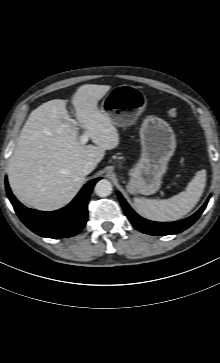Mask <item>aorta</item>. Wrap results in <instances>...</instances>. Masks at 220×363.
Returning a JSON list of instances; mask_svg holds the SVG:
<instances>
[{"label":"aorta","instance_id":"1","mask_svg":"<svg viewBox=\"0 0 220 363\" xmlns=\"http://www.w3.org/2000/svg\"><path fill=\"white\" fill-rule=\"evenodd\" d=\"M95 193L100 197H107L112 193V184L107 179L99 180L95 185Z\"/></svg>","mask_w":220,"mask_h":363}]
</instances>
